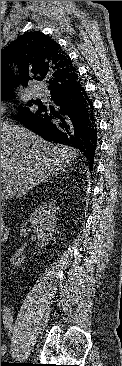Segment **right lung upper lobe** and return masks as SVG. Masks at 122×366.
<instances>
[{
	"mask_svg": "<svg viewBox=\"0 0 122 366\" xmlns=\"http://www.w3.org/2000/svg\"><path fill=\"white\" fill-rule=\"evenodd\" d=\"M10 62L18 65L21 76H14L9 70ZM76 76L70 57L42 32L26 33L1 50V87L27 85L29 80L44 78L51 88Z\"/></svg>",
	"mask_w": 122,
	"mask_h": 366,
	"instance_id": "obj_1",
	"label": "right lung upper lobe"
}]
</instances>
